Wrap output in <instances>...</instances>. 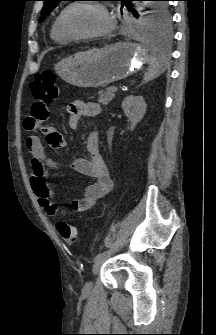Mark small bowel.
<instances>
[{
	"label": "small bowel",
	"mask_w": 216,
	"mask_h": 335,
	"mask_svg": "<svg viewBox=\"0 0 216 335\" xmlns=\"http://www.w3.org/2000/svg\"><path fill=\"white\" fill-rule=\"evenodd\" d=\"M37 103L31 105L29 119L26 120L27 129L32 130L34 134H45L52 148L64 149L65 139L47 123V120H51L52 109L47 108L43 98H39ZM100 112L101 107L96 102L75 100L69 105L68 125L71 129H77L82 118L94 117ZM25 144L31 155V186L39 205L47 215L55 217L65 213L84 212L111 190L113 183L100 154L96 132L91 131L87 135L86 152L89 158L77 157L70 162L73 170L93 178L94 182L86 187L81 199L72 201L66 208L59 207L52 201L53 192L46 183L45 174L47 169L56 168V164L46 155L42 141L38 136L31 134L26 137Z\"/></svg>",
	"instance_id": "c3829d8e"
}]
</instances>
